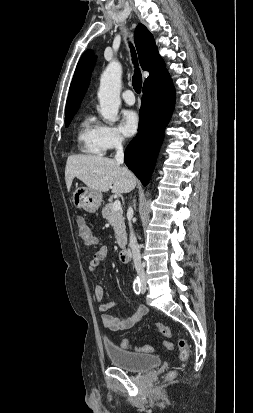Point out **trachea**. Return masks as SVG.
<instances>
[{
    "mask_svg": "<svg viewBox=\"0 0 253 413\" xmlns=\"http://www.w3.org/2000/svg\"><path fill=\"white\" fill-rule=\"evenodd\" d=\"M130 48H131V54H132V61L135 65V72L133 75V79H132V84H133V88L134 90L140 94L141 92V88H142V75L140 73V69L138 68V60H137V55L135 52V49L132 47V45L130 44Z\"/></svg>",
    "mask_w": 253,
    "mask_h": 413,
    "instance_id": "obj_1",
    "label": "trachea"
}]
</instances>
